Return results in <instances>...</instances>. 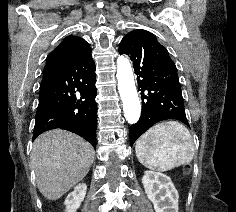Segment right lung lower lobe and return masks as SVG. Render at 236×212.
<instances>
[{"label":"right lung lower lobe","instance_id":"obj_1","mask_svg":"<svg viewBox=\"0 0 236 212\" xmlns=\"http://www.w3.org/2000/svg\"><path fill=\"white\" fill-rule=\"evenodd\" d=\"M95 63L89 45L76 57L43 70L33 140L63 128L96 147Z\"/></svg>","mask_w":236,"mask_h":212}]
</instances>
